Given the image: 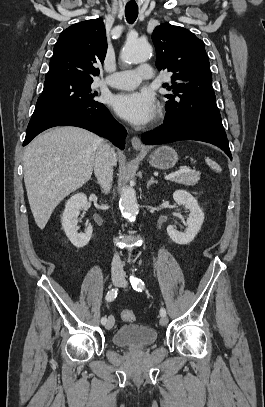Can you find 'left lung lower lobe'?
Returning <instances> with one entry per match:
<instances>
[{
  "mask_svg": "<svg viewBox=\"0 0 265 407\" xmlns=\"http://www.w3.org/2000/svg\"><path fill=\"white\" fill-rule=\"evenodd\" d=\"M148 145L163 144L179 140H198L221 148L232 160L226 134L193 122L164 123L155 131L141 136Z\"/></svg>",
  "mask_w": 265,
  "mask_h": 407,
  "instance_id": "left-lung-lower-lobe-1",
  "label": "left lung lower lobe"
}]
</instances>
